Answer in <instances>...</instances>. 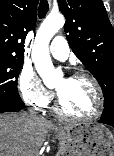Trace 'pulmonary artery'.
<instances>
[{
	"label": "pulmonary artery",
	"instance_id": "1",
	"mask_svg": "<svg viewBox=\"0 0 114 156\" xmlns=\"http://www.w3.org/2000/svg\"><path fill=\"white\" fill-rule=\"evenodd\" d=\"M69 45L65 38L57 36L50 45L51 55L58 60H66L69 56Z\"/></svg>",
	"mask_w": 114,
	"mask_h": 156
}]
</instances>
